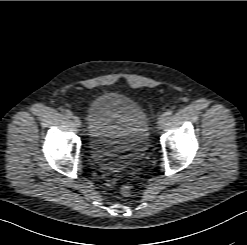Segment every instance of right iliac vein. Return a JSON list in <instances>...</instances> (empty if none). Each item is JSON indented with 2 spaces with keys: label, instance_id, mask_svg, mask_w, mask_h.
<instances>
[{
  "label": "right iliac vein",
  "instance_id": "right-iliac-vein-1",
  "mask_svg": "<svg viewBox=\"0 0 247 245\" xmlns=\"http://www.w3.org/2000/svg\"><path fill=\"white\" fill-rule=\"evenodd\" d=\"M73 121H74V124H75L77 127H80V126H81V120H80L79 117L73 116Z\"/></svg>",
  "mask_w": 247,
  "mask_h": 245
}]
</instances>
